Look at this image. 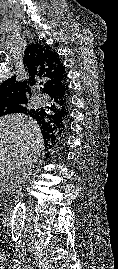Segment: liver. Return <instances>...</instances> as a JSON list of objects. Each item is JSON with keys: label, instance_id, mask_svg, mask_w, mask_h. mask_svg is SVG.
I'll list each match as a JSON object with an SVG mask.
<instances>
[{"label": "liver", "instance_id": "liver-1", "mask_svg": "<svg viewBox=\"0 0 118 269\" xmlns=\"http://www.w3.org/2000/svg\"><path fill=\"white\" fill-rule=\"evenodd\" d=\"M43 150L41 129L32 117L11 114L0 118V177L14 174L24 160L36 161Z\"/></svg>", "mask_w": 118, "mask_h": 269}]
</instances>
